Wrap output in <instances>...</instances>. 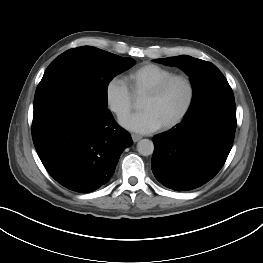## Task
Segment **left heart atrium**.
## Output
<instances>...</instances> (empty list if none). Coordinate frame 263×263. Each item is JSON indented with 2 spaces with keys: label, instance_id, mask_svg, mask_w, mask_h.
<instances>
[{
  "label": "left heart atrium",
  "instance_id": "left-heart-atrium-1",
  "mask_svg": "<svg viewBox=\"0 0 263 263\" xmlns=\"http://www.w3.org/2000/svg\"><path fill=\"white\" fill-rule=\"evenodd\" d=\"M121 125L129 131L139 134H149L163 126V123L150 109L133 113L121 120Z\"/></svg>",
  "mask_w": 263,
  "mask_h": 263
}]
</instances>
